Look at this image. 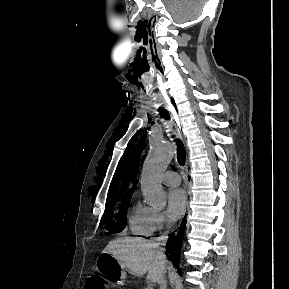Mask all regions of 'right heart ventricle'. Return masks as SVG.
<instances>
[{
  "label": "right heart ventricle",
  "mask_w": 289,
  "mask_h": 289,
  "mask_svg": "<svg viewBox=\"0 0 289 289\" xmlns=\"http://www.w3.org/2000/svg\"><path fill=\"white\" fill-rule=\"evenodd\" d=\"M155 211L140 202L134 203L129 213V227L134 235L151 236L155 231Z\"/></svg>",
  "instance_id": "obj_1"
}]
</instances>
